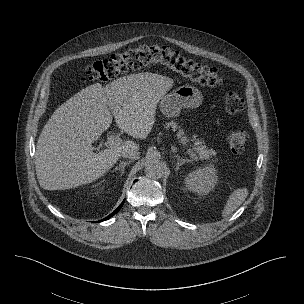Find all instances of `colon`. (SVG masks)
Here are the masks:
<instances>
[{"label":"colon","mask_w":304,"mask_h":304,"mask_svg":"<svg viewBox=\"0 0 304 304\" xmlns=\"http://www.w3.org/2000/svg\"><path fill=\"white\" fill-rule=\"evenodd\" d=\"M151 64L166 66L191 82L202 86H219L223 79L218 70L203 66L182 57L165 46L141 45L123 53L114 54L109 58L97 61L81 72V79L88 81H107L121 73L139 69ZM245 107L244 99L236 93H229L225 98V110L230 114L242 111ZM227 143L231 151L240 154L244 151L248 135L242 129L231 131L227 135Z\"/></svg>","instance_id":"colon-1"}]
</instances>
